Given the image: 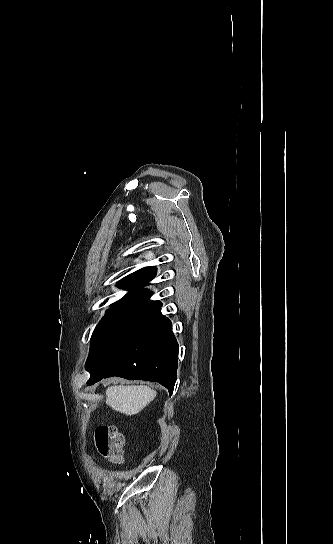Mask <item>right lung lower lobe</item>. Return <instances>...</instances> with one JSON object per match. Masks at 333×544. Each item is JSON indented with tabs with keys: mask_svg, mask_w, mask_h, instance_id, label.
I'll use <instances>...</instances> for the list:
<instances>
[{
	"mask_svg": "<svg viewBox=\"0 0 333 544\" xmlns=\"http://www.w3.org/2000/svg\"><path fill=\"white\" fill-rule=\"evenodd\" d=\"M178 344L169 319L160 316L139 337L115 351L90 372L88 384L118 376L129 380L158 382L172 395L177 378Z\"/></svg>",
	"mask_w": 333,
	"mask_h": 544,
	"instance_id": "98d812e1",
	"label": "right lung lower lobe"
}]
</instances>
